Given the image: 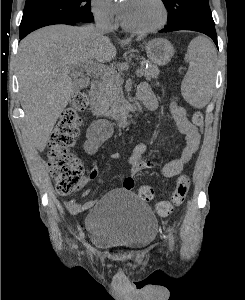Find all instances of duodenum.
<instances>
[{
	"label": "duodenum",
	"instance_id": "1",
	"mask_svg": "<svg viewBox=\"0 0 245 300\" xmlns=\"http://www.w3.org/2000/svg\"><path fill=\"white\" fill-rule=\"evenodd\" d=\"M102 84L100 81L95 80L92 82L91 87V111L97 119H102L104 117V108L101 101ZM137 99L139 102L145 103V96L138 92ZM119 126L126 127L131 123V115L124 114L120 116L117 120Z\"/></svg>",
	"mask_w": 245,
	"mask_h": 300
}]
</instances>
